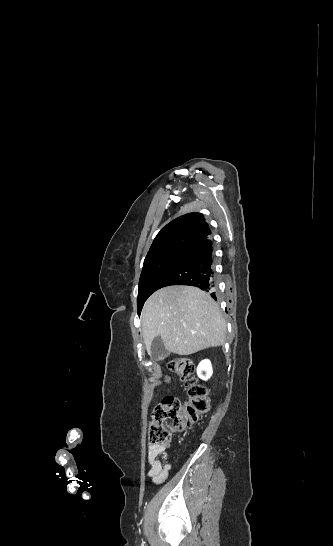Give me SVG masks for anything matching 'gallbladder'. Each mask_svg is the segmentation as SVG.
Wrapping results in <instances>:
<instances>
[{"label": "gallbladder", "instance_id": "1", "mask_svg": "<svg viewBox=\"0 0 333 546\" xmlns=\"http://www.w3.org/2000/svg\"><path fill=\"white\" fill-rule=\"evenodd\" d=\"M151 355L155 360H160L161 357L166 358L170 355L165 347L160 336L154 338L151 344Z\"/></svg>", "mask_w": 333, "mask_h": 546}]
</instances>
